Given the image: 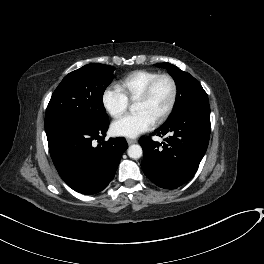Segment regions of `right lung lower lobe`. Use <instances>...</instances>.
Returning <instances> with one entry per match:
<instances>
[{
    "mask_svg": "<svg viewBox=\"0 0 264 264\" xmlns=\"http://www.w3.org/2000/svg\"><path fill=\"white\" fill-rule=\"evenodd\" d=\"M109 120L97 125L65 124L46 129L52 161L65 183L82 194L102 191L114 178L125 138H110L97 147L92 142L105 136Z\"/></svg>",
    "mask_w": 264,
    "mask_h": 264,
    "instance_id": "98d812e1",
    "label": "right lung lower lobe"
}]
</instances>
